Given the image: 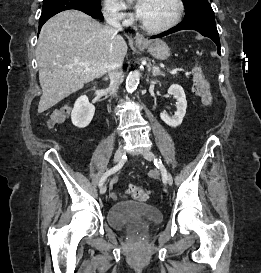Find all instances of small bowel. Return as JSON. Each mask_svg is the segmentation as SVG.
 <instances>
[{
  "instance_id": "c3829d8e",
  "label": "small bowel",
  "mask_w": 261,
  "mask_h": 273,
  "mask_svg": "<svg viewBox=\"0 0 261 273\" xmlns=\"http://www.w3.org/2000/svg\"><path fill=\"white\" fill-rule=\"evenodd\" d=\"M70 108L68 106H65L61 109L56 110L52 115L51 118L48 121V125L50 127H53L54 125L61 124L65 121L67 115L69 114ZM111 197L113 199H116L117 195L114 191H111Z\"/></svg>"
}]
</instances>
